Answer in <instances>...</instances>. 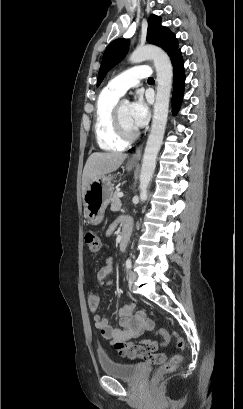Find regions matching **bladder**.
Masks as SVG:
<instances>
[{
    "mask_svg": "<svg viewBox=\"0 0 243 409\" xmlns=\"http://www.w3.org/2000/svg\"><path fill=\"white\" fill-rule=\"evenodd\" d=\"M102 371L109 376L133 381L141 372L140 364L122 363L112 359L99 360Z\"/></svg>",
    "mask_w": 243,
    "mask_h": 409,
    "instance_id": "1",
    "label": "bladder"
}]
</instances>
